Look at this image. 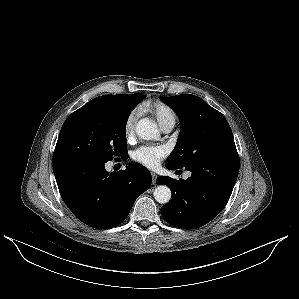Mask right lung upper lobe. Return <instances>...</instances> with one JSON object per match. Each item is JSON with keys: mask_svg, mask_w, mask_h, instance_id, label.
<instances>
[{"mask_svg": "<svg viewBox=\"0 0 299 299\" xmlns=\"http://www.w3.org/2000/svg\"><path fill=\"white\" fill-rule=\"evenodd\" d=\"M134 94H127V95H103L100 96L99 98H125V97H130Z\"/></svg>", "mask_w": 299, "mask_h": 299, "instance_id": "1", "label": "right lung upper lobe"}]
</instances>
